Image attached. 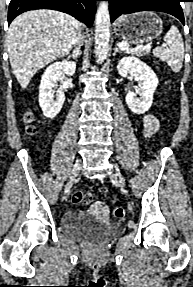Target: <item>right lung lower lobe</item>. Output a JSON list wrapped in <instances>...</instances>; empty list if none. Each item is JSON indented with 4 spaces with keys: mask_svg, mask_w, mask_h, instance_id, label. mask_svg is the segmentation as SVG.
I'll use <instances>...</instances> for the list:
<instances>
[{
    "mask_svg": "<svg viewBox=\"0 0 193 287\" xmlns=\"http://www.w3.org/2000/svg\"><path fill=\"white\" fill-rule=\"evenodd\" d=\"M98 0H11L8 9V24L19 14L35 9H53L72 15L90 27Z\"/></svg>",
    "mask_w": 193,
    "mask_h": 287,
    "instance_id": "obj_1",
    "label": "right lung lower lobe"
}]
</instances>
